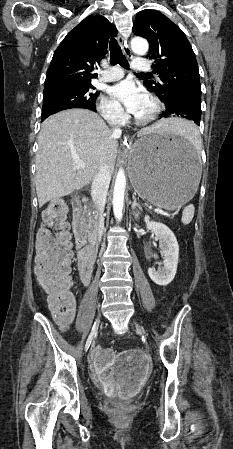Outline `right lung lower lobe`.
<instances>
[{"mask_svg":"<svg viewBox=\"0 0 233 449\" xmlns=\"http://www.w3.org/2000/svg\"><path fill=\"white\" fill-rule=\"evenodd\" d=\"M45 120V118H41V121H44Z\"/></svg>","mask_w":233,"mask_h":449,"instance_id":"right-lung-lower-lobe-1","label":"right lung lower lobe"}]
</instances>
